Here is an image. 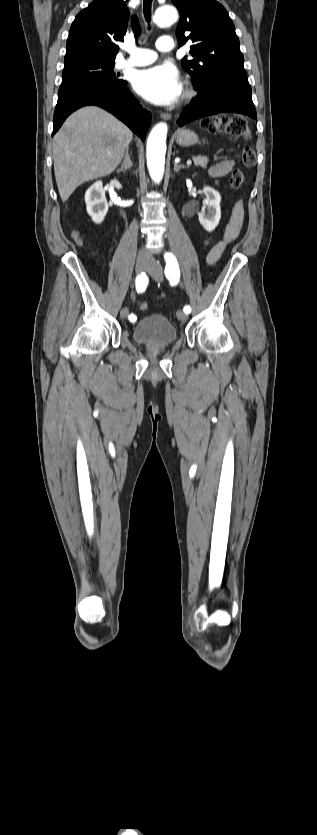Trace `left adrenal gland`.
Masks as SVG:
<instances>
[{"instance_id":"1","label":"left adrenal gland","mask_w":317,"mask_h":835,"mask_svg":"<svg viewBox=\"0 0 317 835\" xmlns=\"http://www.w3.org/2000/svg\"><path fill=\"white\" fill-rule=\"evenodd\" d=\"M181 168H185V166L184 165H178L176 162H174V171L175 172H178Z\"/></svg>"}]
</instances>
